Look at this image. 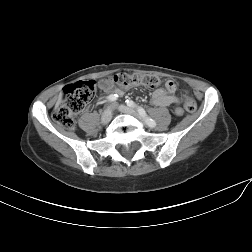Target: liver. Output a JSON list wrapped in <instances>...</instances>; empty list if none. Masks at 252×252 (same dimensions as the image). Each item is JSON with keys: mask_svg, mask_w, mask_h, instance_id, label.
Returning a JSON list of instances; mask_svg holds the SVG:
<instances>
[{"mask_svg": "<svg viewBox=\"0 0 252 252\" xmlns=\"http://www.w3.org/2000/svg\"><path fill=\"white\" fill-rule=\"evenodd\" d=\"M61 99H62V94L59 95V99H58V103L59 104L61 102Z\"/></svg>", "mask_w": 252, "mask_h": 252, "instance_id": "6515ba94", "label": "liver"}]
</instances>
